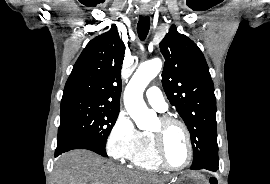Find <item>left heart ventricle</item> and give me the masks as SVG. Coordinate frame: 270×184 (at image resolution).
Wrapping results in <instances>:
<instances>
[{"instance_id":"1","label":"left heart ventricle","mask_w":270,"mask_h":184,"mask_svg":"<svg viewBox=\"0 0 270 184\" xmlns=\"http://www.w3.org/2000/svg\"><path fill=\"white\" fill-rule=\"evenodd\" d=\"M161 129L158 120L152 131ZM165 156L169 164L175 167L182 166L188 156L186 137L182 129L176 125L170 126L165 130Z\"/></svg>"}]
</instances>
